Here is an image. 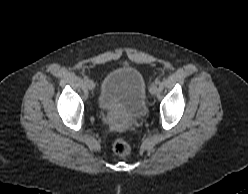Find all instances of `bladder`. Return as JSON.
Listing matches in <instances>:
<instances>
[{
    "label": "bladder",
    "mask_w": 248,
    "mask_h": 194,
    "mask_svg": "<svg viewBox=\"0 0 248 194\" xmlns=\"http://www.w3.org/2000/svg\"><path fill=\"white\" fill-rule=\"evenodd\" d=\"M97 103L103 111L122 107L128 118H142L146 112V101L145 80L141 71L131 65L109 71L102 81Z\"/></svg>",
    "instance_id": "1"
}]
</instances>
